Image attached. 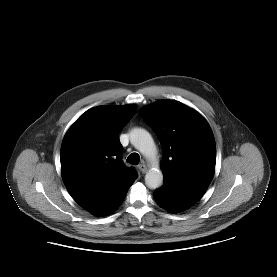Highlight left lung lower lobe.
<instances>
[{
    "label": "left lung lower lobe",
    "mask_w": 277,
    "mask_h": 277,
    "mask_svg": "<svg viewBox=\"0 0 277 277\" xmlns=\"http://www.w3.org/2000/svg\"><path fill=\"white\" fill-rule=\"evenodd\" d=\"M204 193L203 190L178 188L164 183L155 190L154 199L165 210L177 213L193 206Z\"/></svg>",
    "instance_id": "obj_1"
}]
</instances>
